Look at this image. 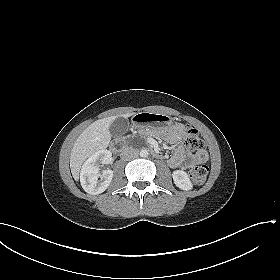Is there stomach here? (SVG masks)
Listing matches in <instances>:
<instances>
[{"label": "stomach", "mask_w": 280, "mask_h": 280, "mask_svg": "<svg viewBox=\"0 0 280 280\" xmlns=\"http://www.w3.org/2000/svg\"><path fill=\"white\" fill-rule=\"evenodd\" d=\"M133 123L136 126L150 125L161 131L168 130L172 125V119L165 114L141 112L133 116Z\"/></svg>", "instance_id": "0dacf381"}]
</instances>
